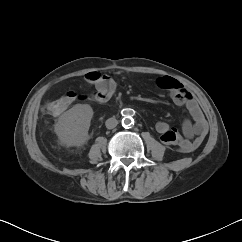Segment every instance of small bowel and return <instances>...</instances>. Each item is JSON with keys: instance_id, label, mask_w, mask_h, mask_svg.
<instances>
[{"instance_id": "small-bowel-1", "label": "small bowel", "mask_w": 242, "mask_h": 242, "mask_svg": "<svg viewBox=\"0 0 242 242\" xmlns=\"http://www.w3.org/2000/svg\"><path fill=\"white\" fill-rule=\"evenodd\" d=\"M92 77H96V80H91ZM86 80L88 83L95 84L97 92L107 90L111 95L116 88V83L112 78L99 76L95 72L89 73ZM156 85L167 90L176 105L185 107L194 121L184 120L182 124L183 136L167 122L158 121L156 130L160 134V140L166 145L177 147L181 152L194 151L202 144L208 130L206 119L197 101L182 83L172 77H161L156 81ZM65 99L69 106L74 102L75 95L68 93Z\"/></svg>"}]
</instances>
